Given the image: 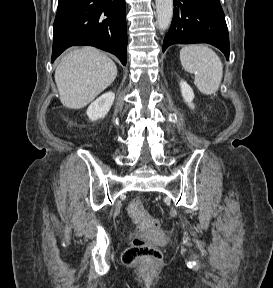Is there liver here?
<instances>
[{
  "label": "liver",
  "instance_id": "1",
  "mask_svg": "<svg viewBox=\"0 0 273 288\" xmlns=\"http://www.w3.org/2000/svg\"><path fill=\"white\" fill-rule=\"evenodd\" d=\"M115 63L100 50L81 47L67 53L55 71L61 103L81 109L92 102L116 78Z\"/></svg>",
  "mask_w": 273,
  "mask_h": 288
}]
</instances>
